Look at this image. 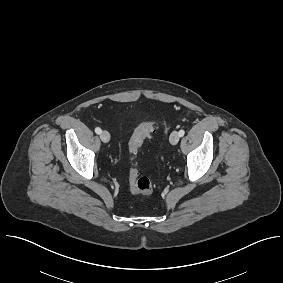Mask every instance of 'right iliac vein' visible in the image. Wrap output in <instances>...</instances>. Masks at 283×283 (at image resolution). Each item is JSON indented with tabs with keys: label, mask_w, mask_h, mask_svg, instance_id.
<instances>
[{
	"label": "right iliac vein",
	"mask_w": 283,
	"mask_h": 283,
	"mask_svg": "<svg viewBox=\"0 0 283 283\" xmlns=\"http://www.w3.org/2000/svg\"><path fill=\"white\" fill-rule=\"evenodd\" d=\"M100 138L104 143H108L110 141V134L107 131H102Z\"/></svg>",
	"instance_id": "right-iliac-vein-1"
}]
</instances>
